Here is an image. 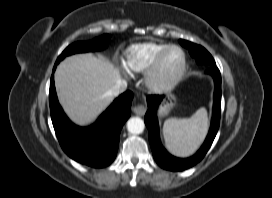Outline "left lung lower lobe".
Returning a JSON list of instances; mask_svg holds the SVG:
<instances>
[{
    "mask_svg": "<svg viewBox=\"0 0 272 198\" xmlns=\"http://www.w3.org/2000/svg\"><path fill=\"white\" fill-rule=\"evenodd\" d=\"M206 73L212 75L215 82L211 128L200 150L190 158L187 159L176 158L170 155L161 145L158 134L156 109L160 104L161 100L163 99V96L151 95L147 97L149 110L145 114L144 121L149 130L148 137L153 152V156L158 165L164 169L171 171H181L192 167L193 165L202 160V158L209 150L217 134L220 124V111H221V74L216 66H211L210 68H208Z\"/></svg>",
    "mask_w": 272,
    "mask_h": 198,
    "instance_id": "left-lung-lower-lobe-1",
    "label": "left lung lower lobe"
}]
</instances>
